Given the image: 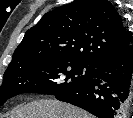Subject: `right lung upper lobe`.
<instances>
[{"label": "right lung upper lobe", "mask_w": 133, "mask_h": 118, "mask_svg": "<svg viewBox=\"0 0 133 118\" xmlns=\"http://www.w3.org/2000/svg\"><path fill=\"white\" fill-rule=\"evenodd\" d=\"M129 43V33L110 1L74 0L47 12L26 31L7 69L49 58L94 67Z\"/></svg>", "instance_id": "obj_1"}]
</instances>
